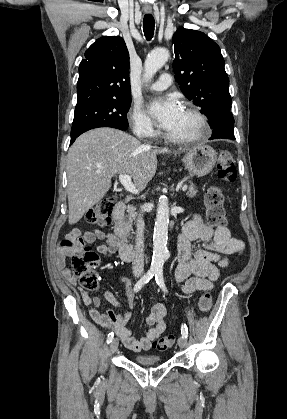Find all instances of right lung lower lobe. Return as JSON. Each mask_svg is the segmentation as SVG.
Segmentation results:
<instances>
[{"mask_svg": "<svg viewBox=\"0 0 287 419\" xmlns=\"http://www.w3.org/2000/svg\"><path fill=\"white\" fill-rule=\"evenodd\" d=\"M76 139V138H75ZM75 139H71V144L75 141Z\"/></svg>", "mask_w": 287, "mask_h": 419, "instance_id": "98d812e1", "label": "right lung lower lobe"}]
</instances>
